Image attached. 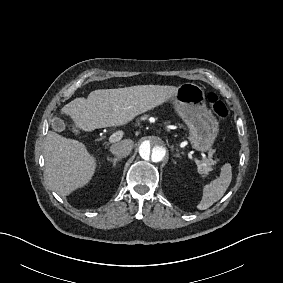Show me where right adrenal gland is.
Returning a JSON list of instances; mask_svg holds the SVG:
<instances>
[{
	"label": "right adrenal gland",
	"instance_id": "obj_1",
	"mask_svg": "<svg viewBox=\"0 0 283 283\" xmlns=\"http://www.w3.org/2000/svg\"><path fill=\"white\" fill-rule=\"evenodd\" d=\"M107 161H108V162H111V163H112V166L115 167L116 162L120 161V158H115V159H113V160L107 159Z\"/></svg>",
	"mask_w": 283,
	"mask_h": 283
}]
</instances>
